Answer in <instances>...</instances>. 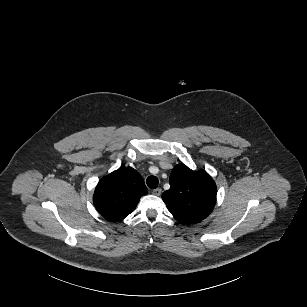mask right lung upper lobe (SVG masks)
I'll use <instances>...</instances> for the list:
<instances>
[{
    "label": "right lung upper lobe",
    "mask_w": 307,
    "mask_h": 307,
    "mask_svg": "<svg viewBox=\"0 0 307 307\" xmlns=\"http://www.w3.org/2000/svg\"><path fill=\"white\" fill-rule=\"evenodd\" d=\"M147 193L141 175L131 167H123L99 181L93 202L105 218L120 221L134 211L140 198Z\"/></svg>",
    "instance_id": "1"
}]
</instances>
